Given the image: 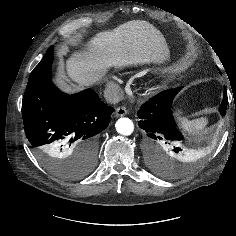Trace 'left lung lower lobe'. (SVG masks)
I'll use <instances>...</instances> for the list:
<instances>
[{"mask_svg":"<svg viewBox=\"0 0 236 236\" xmlns=\"http://www.w3.org/2000/svg\"><path fill=\"white\" fill-rule=\"evenodd\" d=\"M182 87L168 89L163 91L148 102L144 103L138 111L140 121L139 127L144 130L148 146V160L152 165L161 163L160 145L166 144L174 154H179L182 149L179 147V141L184 137L177 129V125L172 115V101ZM228 97L224 89L223 101L219 112L225 116Z\"/></svg>","mask_w":236,"mask_h":236,"instance_id":"0a47b994","label":"left lung lower lobe"}]
</instances>
